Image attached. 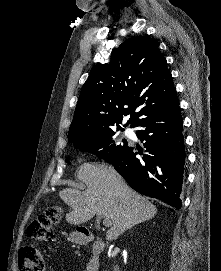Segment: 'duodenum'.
Here are the masks:
<instances>
[{
	"mask_svg": "<svg viewBox=\"0 0 221 271\" xmlns=\"http://www.w3.org/2000/svg\"><path fill=\"white\" fill-rule=\"evenodd\" d=\"M77 245H86L91 243V254L86 266V271H99L101 266V254L105 248V243L100 239H95L92 233L87 230H81L72 238Z\"/></svg>",
	"mask_w": 221,
	"mask_h": 271,
	"instance_id": "410a0bca",
	"label": "duodenum"
}]
</instances>
